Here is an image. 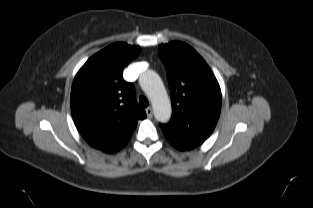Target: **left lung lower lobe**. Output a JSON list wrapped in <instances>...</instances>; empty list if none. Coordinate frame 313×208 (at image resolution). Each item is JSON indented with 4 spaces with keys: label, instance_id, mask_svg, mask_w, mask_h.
I'll list each match as a JSON object with an SVG mask.
<instances>
[{
    "label": "left lung lower lobe",
    "instance_id": "1",
    "mask_svg": "<svg viewBox=\"0 0 313 208\" xmlns=\"http://www.w3.org/2000/svg\"><path fill=\"white\" fill-rule=\"evenodd\" d=\"M167 139L175 148H177V149H179L181 151L191 150L194 147H196V146H192L190 144H186V143H183V142L175 141V140H172V139H169V138H167Z\"/></svg>",
    "mask_w": 313,
    "mask_h": 208
}]
</instances>
